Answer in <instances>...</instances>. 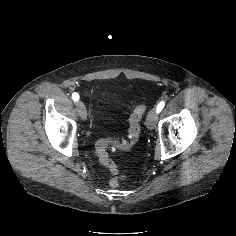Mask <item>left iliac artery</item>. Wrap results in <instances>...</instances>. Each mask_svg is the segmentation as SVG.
I'll return each instance as SVG.
<instances>
[{"label":"left iliac artery","mask_w":236,"mask_h":236,"mask_svg":"<svg viewBox=\"0 0 236 236\" xmlns=\"http://www.w3.org/2000/svg\"><path fill=\"white\" fill-rule=\"evenodd\" d=\"M165 106V102L161 101L158 105H157V112L159 113Z\"/></svg>","instance_id":"left-iliac-artery-1"}]
</instances>
